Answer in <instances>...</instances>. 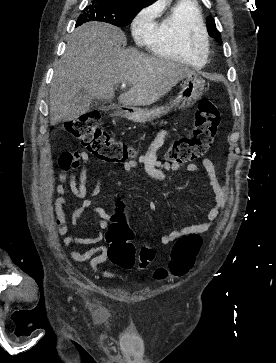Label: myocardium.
Returning a JSON list of instances; mask_svg holds the SVG:
<instances>
[{
	"instance_id": "f54148a6",
	"label": "myocardium",
	"mask_w": 276,
	"mask_h": 363,
	"mask_svg": "<svg viewBox=\"0 0 276 363\" xmlns=\"http://www.w3.org/2000/svg\"><path fill=\"white\" fill-rule=\"evenodd\" d=\"M189 43L191 48L205 57L209 53V37L205 31L194 30L189 36Z\"/></svg>"
}]
</instances>
